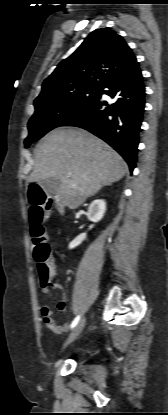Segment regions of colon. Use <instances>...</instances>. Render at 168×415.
Listing matches in <instances>:
<instances>
[{
  "label": "colon",
  "mask_w": 168,
  "mask_h": 415,
  "mask_svg": "<svg viewBox=\"0 0 168 415\" xmlns=\"http://www.w3.org/2000/svg\"><path fill=\"white\" fill-rule=\"evenodd\" d=\"M29 201L33 256L43 284L51 286L54 284L52 279L55 274V263L43 225L49 213L51 200L41 188L34 186L30 188Z\"/></svg>",
  "instance_id": "colon-1"
}]
</instances>
